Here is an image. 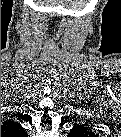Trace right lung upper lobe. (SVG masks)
<instances>
[{"mask_svg":"<svg viewBox=\"0 0 121 137\" xmlns=\"http://www.w3.org/2000/svg\"><path fill=\"white\" fill-rule=\"evenodd\" d=\"M12 129V130H20L22 133L24 132L23 128H21L18 124L14 121H6L1 125V132L3 130Z\"/></svg>","mask_w":121,"mask_h":137,"instance_id":"cb5924a9","label":"right lung upper lobe"}]
</instances>
